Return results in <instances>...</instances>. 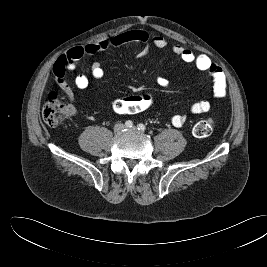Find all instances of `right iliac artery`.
Listing matches in <instances>:
<instances>
[{"label":"right iliac artery","instance_id":"82829eb1","mask_svg":"<svg viewBox=\"0 0 267 267\" xmlns=\"http://www.w3.org/2000/svg\"><path fill=\"white\" fill-rule=\"evenodd\" d=\"M125 126L128 127V128H131L133 126V122L128 120L125 122Z\"/></svg>","mask_w":267,"mask_h":267}]
</instances>
